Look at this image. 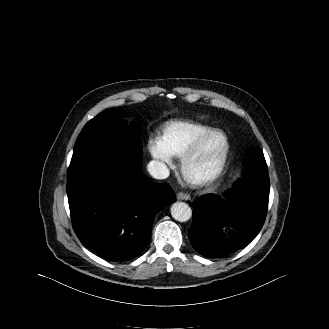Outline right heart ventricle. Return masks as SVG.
<instances>
[{"mask_svg": "<svg viewBox=\"0 0 329 329\" xmlns=\"http://www.w3.org/2000/svg\"><path fill=\"white\" fill-rule=\"evenodd\" d=\"M212 128L192 121L167 122L159 137L163 148L173 157H181L195 140Z\"/></svg>", "mask_w": 329, "mask_h": 329, "instance_id": "e07e8e85", "label": "right heart ventricle"}]
</instances>
